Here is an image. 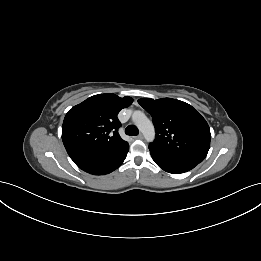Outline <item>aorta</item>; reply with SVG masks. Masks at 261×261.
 <instances>
[{
  "label": "aorta",
  "mask_w": 261,
  "mask_h": 261,
  "mask_svg": "<svg viewBox=\"0 0 261 261\" xmlns=\"http://www.w3.org/2000/svg\"><path fill=\"white\" fill-rule=\"evenodd\" d=\"M133 122L143 133L148 142L154 140L155 131L152 122L141 111H135L132 115Z\"/></svg>",
  "instance_id": "aorta-1"
}]
</instances>
